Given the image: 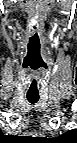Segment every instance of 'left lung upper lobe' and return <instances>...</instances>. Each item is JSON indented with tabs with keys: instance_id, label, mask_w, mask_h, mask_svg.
I'll list each match as a JSON object with an SVG mask.
<instances>
[{
	"instance_id": "obj_1",
	"label": "left lung upper lobe",
	"mask_w": 77,
	"mask_h": 143,
	"mask_svg": "<svg viewBox=\"0 0 77 143\" xmlns=\"http://www.w3.org/2000/svg\"><path fill=\"white\" fill-rule=\"evenodd\" d=\"M75 134H76L75 130H70V131L62 134L58 138H60L62 140H73V138H75V136H76Z\"/></svg>"
}]
</instances>
